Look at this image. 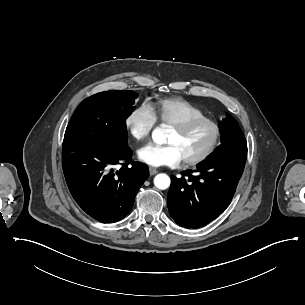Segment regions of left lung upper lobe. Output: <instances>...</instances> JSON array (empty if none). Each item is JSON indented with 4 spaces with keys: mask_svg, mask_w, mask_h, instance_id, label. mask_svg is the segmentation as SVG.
I'll list each match as a JSON object with an SVG mask.
<instances>
[{
    "mask_svg": "<svg viewBox=\"0 0 305 305\" xmlns=\"http://www.w3.org/2000/svg\"><path fill=\"white\" fill-rule=\"evenodd\" d=\"M222 144L212 156L247 154V142L238 122L229 114L219 122Z\"/></svg>",
    "mask_w": 305,
    "mask_h": 305,
    "instance_id": "obj_1",
    "label": "left lung upper lobe"
}]
</instances>
